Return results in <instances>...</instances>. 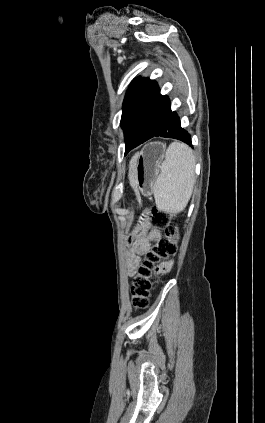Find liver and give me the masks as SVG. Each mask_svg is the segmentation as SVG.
Wrapping results in <instances>:
<instances>
[{
    "label": "liver",
    "instance_id": "6515ba94",
    "mask_svg": "<svg viewBox=\"0 0 265 423\" xmlns=\"http://www.w3.org/2000/svg\"><path fill=\"white\" fill-rule=\"evenodd\" d=\"M135 168V162H134V158L131 160L130 162V171L131 173L134 171ZM130 179H132V175H130Z\"/></svg>",
    "mask_w": 265,
    "mask_h": 423
}]
</instances>
